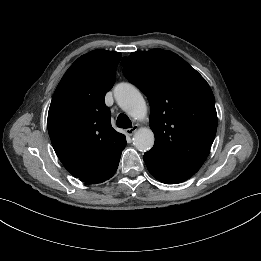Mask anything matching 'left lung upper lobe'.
I'll use <instances>...</instances> for the list:
<instances>
[{
	"mask_svg": "<svg viewBox=\"0 0 261 261\" xmlns=\"http://www.w3.org/2000/svg\"><path fill=\"white\" fill-rule=\"evenodd\" d=\"M125 77L148 98L155 143L149 151L176 163L202 165L217 129L215 98L205 79L171 51L132 52Z\"/></svg>",
	"mask_w": 261,
	"mask_h": 261,
	"instance_id": "5c2ea615",
	"label": "left lung upper lobe"
}]
</instances>
